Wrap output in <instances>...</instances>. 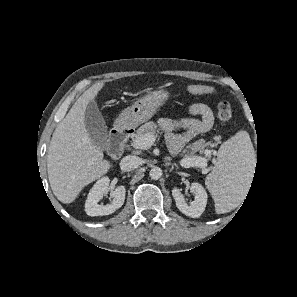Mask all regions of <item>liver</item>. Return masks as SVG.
<instances>
[{
    "instance_id": "liver-1",
    "label": "liver",
    "mask_w": 297,
    "mask_h": 297,
    "mask_svg": "<svg viewBox=\"0 0 297 297\" xmlns=\"http://www.w3.org/2000/svg\"><path fill=\"white\" fill-rule=\"evenodd\" d=\"M103 83L94 84L74 103L52 135L47 155L49 183L56 198L72 203L81 190L106 174L110 168L103 152L86 129L85 111Z\"/></svg>"
}]
</instances>
